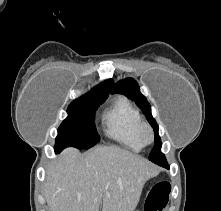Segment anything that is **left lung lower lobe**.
<instances>
[{"label":"left lung lower lobe","mask_w":221,"mask_h":211,"mask_svg":"<svg viewBox=\"0 0 221 211\" xmlns=\"http://www.w3.org/2000/svg\"><path fill=\"white\" fill-rule=\"evenodd\" d=\"M160 165H163V166H166V167L168 166L167 161L161 162Z\"/></svg>","instance_id":"0a47b994"}]
</instances>
